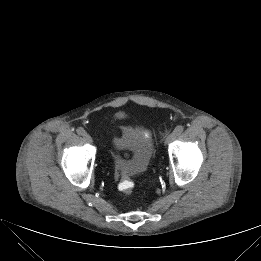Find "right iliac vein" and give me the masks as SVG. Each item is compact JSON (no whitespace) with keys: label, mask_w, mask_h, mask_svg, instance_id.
Segmentation results:
<instances>
[{"label":"right iliac vein","mask_w":261,"mask_h":261,"mask_svg":"<svg viewBox=\"0 0 261 261\" xmlns=\"http://www.w3.org/2000/svg\"><path fill=\"white\" fill-rule=\"evenodd\" d=\"M83 136H84V139L87 143L92 144L93 139L89 134L85 133Z\"/></svg>","instance_id":"1"}]
</instances>
